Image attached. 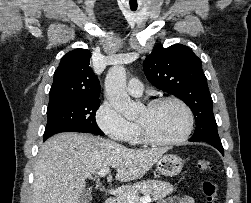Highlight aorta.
I'll list each match as a JSON object with an SVG mask.
<instances>
[{"label": "aorta", "mask_w": 251, "mask_h": 203, "mask_svg": "<svg viewBox=\"0 0 251 203\" xmlns=\"http://www.w3.org/2000/svg\"><path fill=\"white\" fill-rule=\"evenodd\" d=\"M106 98L113 108L127 119L139 114L140 105L135 103L126 91V69L116 65L109 69L105 79Z\"/></svg>", "instance_id": "762f6f07"}]
</instances>
